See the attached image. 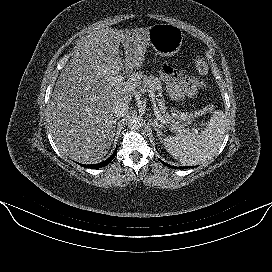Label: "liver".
Here are the masks:
<instances>
[{
	"label": "liver",
	"mask_w": 272,
	"mask_h": 272,
	"mask_svg": "<svg viewBox=\"0 0 272 272\" xmlns=\"http://www.w3.org/2000/svg\"><path fill=\"white\" fill-rule=\"evenodd\" d=\"M149 32L150 27L95 30L62 70L50 100L49 120L53 139L64 155L83 164L107 155L116 127L113 106L119 100L130 103L142 77L134 72L124 81L121 71L141 68Z\"/></svg>",
	"instance_id": "liver-1"
}]
</instances>
